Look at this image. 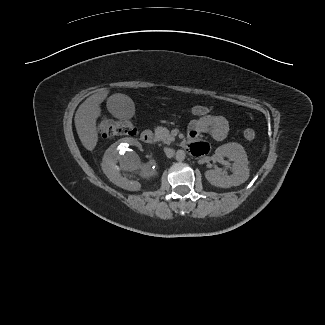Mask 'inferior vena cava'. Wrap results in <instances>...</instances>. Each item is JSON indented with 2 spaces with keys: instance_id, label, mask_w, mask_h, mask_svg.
<instances>
[{
  "instance_id": "inferior-vena-cava-1",
  "label": "inferior vena cava",
  "mask_w": 325,
  "mask_h": 325,
  "mask_svg": "<svg viewBox=\"0 0 325 325\" xmlns=\"http://www.w3.org/2000/svg\"><path fill=\"white\" fill-rule=\"evenodd\" d=\"M164 152L168 158H171L175 155V151L171 148H164Z\"/></svg>"
}]
</instances>
